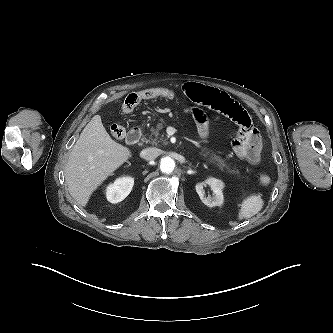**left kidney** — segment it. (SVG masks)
Instances as JSON below:
<instances>
[{"label":"left kidney","instance_id":"5707ae66","mask_svg":"<svg viewBox=\"0 0 333 333\" xmlns=\"http://www.w3.org/2000/svg\"><path fill=\"white\" fill-rule=\"evenodd\" d=\"M209 185L214 193L213 197H205V192H204V186ZM196 192L198 193L201 201L209 206V207H214V206H221L223 204L224 198H223V193L222 190L224 188V183L216 178L210 177L206 179L203 183H198L195 186Z\"/></svg>","mask_w":333,"mask_h":333}]
</instances>
